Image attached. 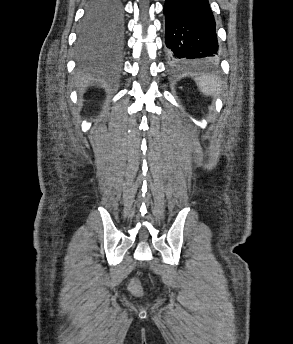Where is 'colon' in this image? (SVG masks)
I'll use <instances>...</instances> for the list:
<instances>
[{"label":"colon","mask_w":293,"mask_h":344,"mask_svg":"<svg viewBox=\"0 0 293 344\" xmlns=\"http://www.w3.org/2000/svg\"><path fill=\"white\" fill-rule=\"evenodd\" d=\"M129 290L133 295L138 297L142 296L144 293L140 282L136 279L131 280V282L129 283Z\"/></svg>","instance_id":"colon-1"}]
</instances>
